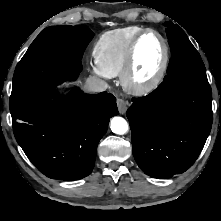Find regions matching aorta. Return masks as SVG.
Instances as JSON below:
<instances>
[{
	"label": "aorta",
	"instance_id": "762f6f07",
	"mask_svg": "<svg viewBox=\"0 0 221 221\" xmlns=\"http://www.w3.org/2000/svg\"><path fill=\"white\" fill-rule=\"evenodd\" d=\"M111 131L115 134L123 135L128 131V123L122 117H113L110 122Z\"/></svg>",
	"mask_w": 221,
	"mask_h": 221
}]
</instances>
